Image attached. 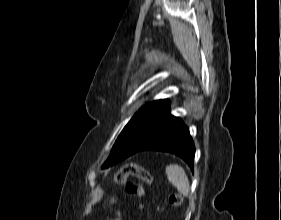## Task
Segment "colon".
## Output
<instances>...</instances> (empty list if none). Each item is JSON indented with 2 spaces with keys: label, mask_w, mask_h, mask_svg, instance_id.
I'll return each mask as SVG.
<instances>
[{
  "label": "colon",
  "mask_w": 281,
  "mask_h": 220,
  "mask_svg": "<svg viewBox=\"0 0 281 220\" xmlns=\"http://www.w3.org/2000/svg\"><path fill=\"white\" fill-rule=\"evenodd\" d=\"M133 177L134 180H130ZM114 180L119 185H124L126 193L134 197H143L145 194L144 184L151 183L150 173L142 166L134 163H129L124 165L114 177ZM169 203L174 206H178L182 203V197L179 194H170L168 197ZM111 204L115 203V199L111 197L109 199ZM143 208V205H139ZM117 218L115 220H120L119 211L116 210Z\"/></svg>",
  "instance_id": "1"
}]
</instances>
